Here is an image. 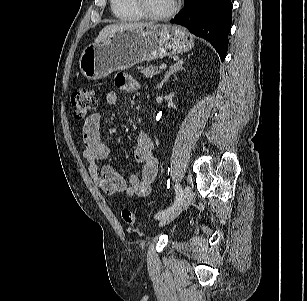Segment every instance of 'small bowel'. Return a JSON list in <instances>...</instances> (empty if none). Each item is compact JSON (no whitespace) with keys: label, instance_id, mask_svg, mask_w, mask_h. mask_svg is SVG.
<instances>
[{"label":"small bowel","instance_id":"1","mask_svg":"<svg viewBox=\"0 0 307 301\" xmlns=\"http://www.w3.org/2000/svg\"><path fill=\"white\" fill-rule=\"evenodd\" d=\"M116 86L125 92L140 89L139 82L127 74L116 78ZM116 95L110 92L106 95L109 104L116 102ZM83 157L88 163V171L93 182L106 194L114 195L125 192L128 196H146L152 189V184L158 172V161L154 155V145L146 132H139L136 139L134 157L141 164L140 175H132L126 179L111 166L102 165L101 161L110 155L109 146L102 140L100 132V116L98 113L87 118L82 126Z\"/></svg>","mask_w":307,"mask_h":301}]
</instances>
